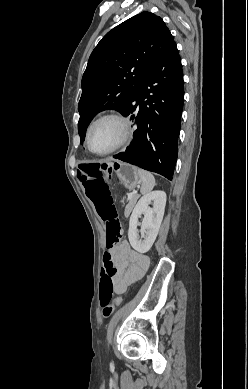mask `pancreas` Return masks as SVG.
Returning <instances> with one entry per match:
<instances>
[{"label": "pancreas", "mask_w": 248, "mask_h": 389, "mask_svg": "<svg viewBox=\"0 0 248 389\" xmlns=\"http://www.w3.org/2000/svg\"><path fill=\"white\" fill-rule=\"evenodd\" d=\"M139 198L138 195H133L131 199H129L128 204L126 205L125 208V215H129L130 212L132 211L134 205L136 204L137 199Z\"/></svg>", "instance_id": "cf45deb5"}]
</instances>
